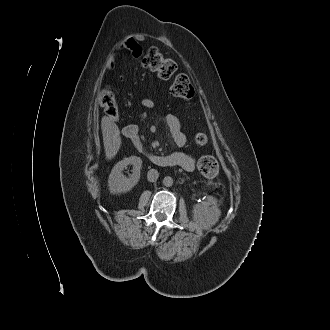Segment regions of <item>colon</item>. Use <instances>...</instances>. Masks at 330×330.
Returning <instances> with one entry per match:
<instances>
[{
	"label": "colon",
	"mask_w": 330,
	"mask_h": 330,
	"mask_svg": "<svg viewBox=\"0 0 330 330\" xmlns=\"http://www.w3.org/2000/svg\"><path fill=\"white\" fill-rule=\"evenodd\" d=\"M144 68L155 72L162 79H170L177 70V64L168 58H165L157 47H150L142 58ZM171 94L177 98L190 99L194 96V88L189 77L185 74L176 76L171 85ZM99 102L105 113L110 118H117L119 115L115 96L110 89H104L100 92ZM198 145H205L208 137L205 133L199 132L194 136ZM198 169L206 177H214L219 170L218 162L211 156L201 157L198 161Z\"/></svg>",
	"instance_id": "1"
}]
</instances>
